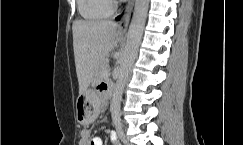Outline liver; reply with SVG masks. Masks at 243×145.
I'll list each match as a JSON object with an SVG mask.
<instances>
[{
	"instance_id": "liver-1",
	"label": "liver",
	"mask_w": 243,
	"mask_h": 145,
	"mask_svg": "<svg viewBox=\"0 0 243 145\" xmlns=\"http://www.w3.org/2000/svg\"><path fill=\"white\" fill-rule=\"evenodd\" d=\"M118 24L107 20H75L73 48L79 93L87 90L100 64L119 42Z\"/></svg>"
}]
</instances>
